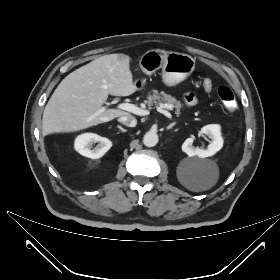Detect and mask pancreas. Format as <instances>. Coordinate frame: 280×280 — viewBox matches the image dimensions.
<instances>
[{
    "label": "pancreas",
    "mask_w": 280,
    "mask_h": 280,
    "mask_svg": "<svg viewBox=\"0 0 280 280\" xmlns=\"http://www.w3.org/2000/svg\"><path fill=\"white\" fill-rule=\"evenodd\" d=\"M147 105L151 109L153 105L163 104L168 105L169 110L175 109V114L180 115V111L183 108V104L177 101L175 97L166 94L164 91L158 92V90H152L147 96Z\"/></svg>",
    "instance_id": "1"
}]
</instances>
